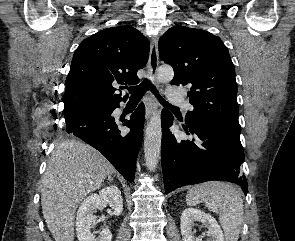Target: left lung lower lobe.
Masks as SVG:
<instances>
[{"label": "left lung lower lobe", "instance_id": "0a47b994", "mask_svg": "<svg viewBox=\"0 0 295 241\" xmlns=\"http://www.w3.org/2000/svg\"><path fill=\"white\" fill-rule=\"evenodd\" d=\"M161 158L165 194L185 185L211 180L239 184L247 194L248 185L240 166L244 152L238 135L203 124L183 125L193 140H178L168 127L173 115L162 111Z\"/></svg>", "mask_w": 295, "mask_h": 241}]
</instances>
